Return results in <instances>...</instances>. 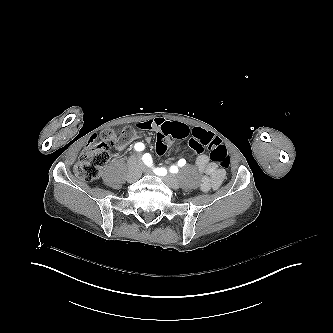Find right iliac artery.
<instances>
[{"label": "right iliac artery", "instance_id": "82829eb1", "mask_svg": "<svg viewBox=\"0 0 333 333\" xmlns=\"http://www.w3.org/2000/svg\"><path fill=\"white\" fill-rule=\"evenodd\" d=\"M144 148H145V146H144L143 143H137V144H135V150H137V151H142V150H144Z\"/></svg>", "mask_w": 333, "mask_h": 333}]
</instances>
